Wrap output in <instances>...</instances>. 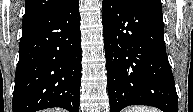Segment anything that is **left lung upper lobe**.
Wrapping results in <instances>:
<instances>
[{
	"label": "left lung upper lobe",
	"instance_id": "obj_1",
	"mask_svg": "<svg viewBox=\"0 0 193 112\" xmlns=\"http://www.w3.org/2000/svg\"><path fill=\"white\" fill-rule=\"evenodd\" d=\"M122 2L129 3V4H141V3H148V2H160V0H121Z\"/></svg>",
	"mask_w": 193,
	"mask_h": 112
}]
</instances>
